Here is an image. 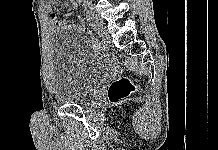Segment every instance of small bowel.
I'll list each match as a JSON object with an SVG mask.
<instances>
[{
  "label": "small bowel",
  "instance_id": "small-bowel-1",
  "mask_svg": "<svg viewBox=\"0 0 218 150\" xmlns=\"http://www.w3.org/2000/svg\"><path fill=\"white\" fill-rule=\"evenodd\" d=\"M57 0H48L45 4V10L48 13L50 28L53 32H56L60 29L65 30H74V31H82L83 26L75 25L74 23L68 20H62L58 17V15L53 11V3ZM71 2L72 8L75 9L77 7V0H68ZM71 13H67L66 16H70Z\"/></svg>",
  "mask_w": 218,
  "mask_h": 150
}]
</instances>
